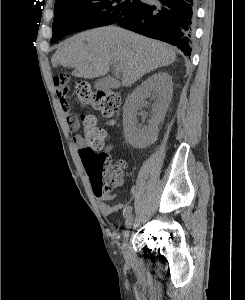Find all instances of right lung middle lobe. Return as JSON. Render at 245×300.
Segmentation results:
<instances>
[{
    "label": "right lung middle lobe",
    "mask_w": 245,
    "mask_h": 300,
    "mask_svg": "<svg viewBox=\"0 0 245 300\" xmlns=\"http://www.w3.org/2000/svg\"><path fill=\"white\" fill-rule=\"evenodd\" d=\"M143 0H58L54 7L51 43L62 39L65 30L57 28L58 21L73 26L74 33L115 23L133 12ZM72 28V29H73Z\"/></svg>",
    "instance_id": "1"
}]
</instances>
